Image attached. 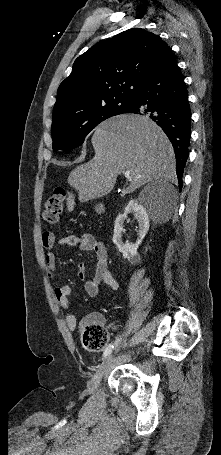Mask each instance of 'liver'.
Instances as JSON below:
<instances>
[{"instance_id": "6515ba94", "label": "liver", "mask_w": 221, "mask_h": 455, "mask_svg": "<svg viewBox=\"0 0 221 455\" xmlns=\"http://www.w3.org/2000/svg\"><path fill=\"white\" fill-rule=\"evenodd\" d=\"M95 156L76 167L68 183L87 202L107 195L118 175L130 171V184L122 196L153 181H175L173 147L162 129L148 117L121 114L102 122L92 136ZM67 209L74 210L75 196L68 193Z\"/></svg>"}]
</instances>
